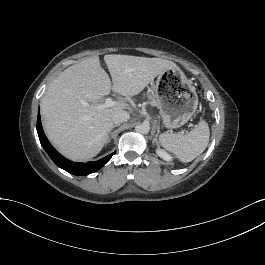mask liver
<instances>
[{
    "label": "liver",
    "instance_id": "obj_1",
    "mask_svg": "<svg viewBox=\"0 0 265 265\" xmlns=\"http://www.w3.org/2000/svg\"><path fill=\"white\" fill-rule=\"evenodd\" d=\"M104 61L113 85L99 57L94 56L61 72L41 101L42 124L49 141L72 161L96 156L114 126L112 114L128 107L122 100L113 107L99 108L111 89L125 97L134 96L164 71L178 69L174 62L161 58L110 54ZM81 100L92 104L84 107Z\"/></svg>",
    "mask_w": 265,
    "mask_h": 265
}]
</instances>
